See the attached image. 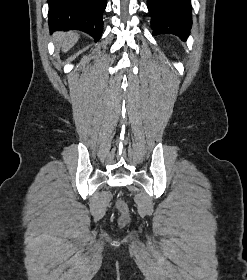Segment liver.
<instances>
[{
  "instance_id": "6515ba94",
  "label": "liver",
  "mask_w": 247,
  "mask_h": 280,
  "mask_svg": "<svg viewBox=\"0 0 247 280\" xmlns=\"http://www.w3.org/2000/svg\"><path fill=\"white\" fill-rule=\"evenodd\" d=\"M79 35L77 33H55L54 40L62 47L63 52L69 51L78 41Z\"/></svg>"
}]
</instances>
